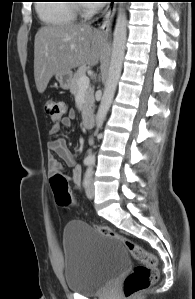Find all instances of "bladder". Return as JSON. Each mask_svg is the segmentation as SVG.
<instances>
[{"mask_svg": "<svg viewBox=\"0 0 195 299\" xmlns=\"http://www.w3.org/2000/svg\"><path fill=\"white\" fill-rule=\"evenodd\" d=\"M63 246L64 280L72 292L94 295L129 266L126 247L85 222L65 225Z\"/></svg>", "mask_w": 195, "mask_h": 299, "instance_id": "obj_1", "label": "bladder"}]
</instances>
